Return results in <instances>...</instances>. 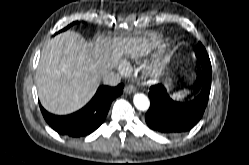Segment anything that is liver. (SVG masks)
<instances>
[{
  "mask_svg": "<svg viewBox=\"0 0 249 165\" xmlns=\"http://www.w3.org/2000/svg\"><path fill=\"white\" fill-rule=\"evenodd\" d=\"M135 39L98 36L95 47L78 33L68 31L53 38L43 49L36 73L39 99L55 114L81 108L95 93L100 75L110 67V56L135 43Z\"/></svg>",
  "mask_w": 249,
  "mask_h": 165,
  "instance_id": "liver-1",
  "label": "liver"
}]
</instances>
